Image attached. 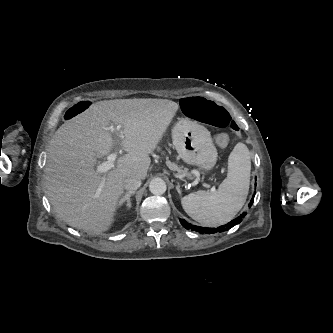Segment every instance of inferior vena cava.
<instances>
[{"instance_id": "602c4592", "label": "inferior vena cava", "mask_w": 333, "mask_h": 333, "mask_svg": "<svg viewBox=\"0 0 333 333\" xmlns=\"http://www.w3.org/2000/svg\"><path fill=\"white\" fill-rule=\"evenodd\" d=\"M140 186H141V179L136 176H130L124 180V188L129 192H134Z\"/></svg>"}]
</instances>
